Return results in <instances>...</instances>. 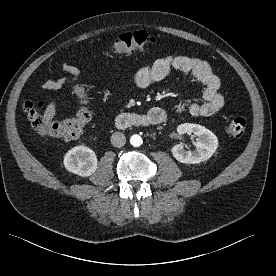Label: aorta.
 I'll use <instances>...</instances> for the list:
<instances>
[{
    "instance_id": "762f6f07",
    "label": "aorta",
    "mask_w": 276,
    "mask_h": 276,
    "mask_svg": "<svg viewBox=\"0 0 276 276\" xmlns=\"http://www.w3.org/2000/svg\"><path fill=\"white\" fill-rule=\"evenodd\" d=\"M143 143V140L140 135L134 134L130 138V144L134 147H139Z\"/></svg>"
}]
</instances>
